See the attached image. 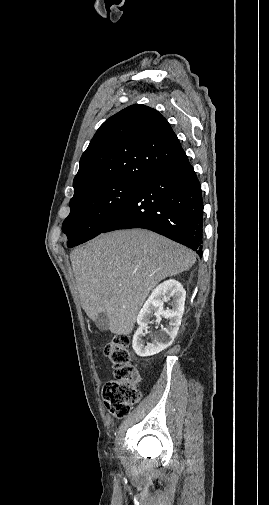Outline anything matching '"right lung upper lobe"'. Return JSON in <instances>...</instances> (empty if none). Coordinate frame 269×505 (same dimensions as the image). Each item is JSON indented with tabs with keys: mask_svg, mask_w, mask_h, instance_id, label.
I'll return each instance as SVG.
<instances>
[{
	"mask_svg": "<svg viewBox=\"0 0 269 505\" xmlns=\"http://www.w3.org/2000/svg\"><path fill=\"white\" fill-rule=\"evenodd\" d=\"M185 154L168 121L155 109L131 105L107 119L80 159L74 195L109 182L143 183Z\"/></svg>",
	"mask_w": 269,
	"mask_h": 505,
	"instance_id": "1",
	"label": "right lung upper lobe"
}]
</instances>
